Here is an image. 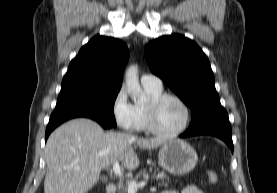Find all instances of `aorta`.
<instances>
[{
  "label": "aorta",
  "mask_w": 277,
  "mask_h": 193,
  "mask_svg": "<svg viewBox=\"0 0 277 193\" xmlns=\"http://www.w3.org/2000/svg\"><path fill=\"white\" fill-rule=\"evenodd\" d=\"M125 85L127 92L138 102H145L147 97L143 92L138 77V67L136 65L130 66L125 74Z\"/></svg>",
  "instance_id": "obj_1"
}]
</instances>
